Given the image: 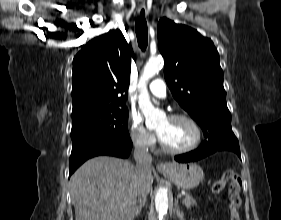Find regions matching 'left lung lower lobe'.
Masks as SVG:
<instances>
[{
	"label": "left lung lower lobe",
	"mask_w": 281,
	"mask_h": 220,
	"mask_svg": "<svg viewBox=\"0 0 281 220\" xmlns=\"http://www.w3.org/2000/svg\"><path fill=\"white\" fill-rule=\"evenodd\" d=\"M228 150L235 152L240 158V149L238 142L213 144L208 141L203 142L202 145L189 153L175 156V160L181 163L196 161L202 159L216 151Z\"/></svg>",
	"instance_id": "obj_1"
}]
</instances>
